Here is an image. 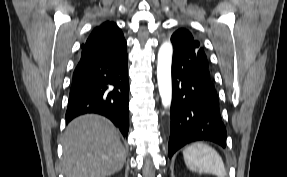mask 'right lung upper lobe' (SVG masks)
<instances>
[{"label":"right lung upper lobe","instance_id":"1","mask_svg":"<svg viewBox=\"0 0 287 177\" xmlns=\"http://www.w3.org/2000/svg\"><path fill=\"white\" fill-rule=\"evenodd\" d=\"M116 30H120V29L118 28L116 23L110 22V21H106L94 29V31H98V32H103V31L109 32V31H116Z\"/></svg>","mask_w":287,"mask_h":177}]
</instances>
